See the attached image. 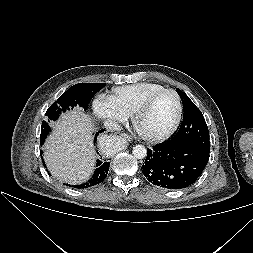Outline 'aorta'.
<instances>
[{
	"label": "aorta",
	"instance_id": "762f6f07",
	"mask_svg": "<svg viewBox=\"0 0 253 253\" xmlns=\"http://www.w3.org/2000/svg\"><path fill=\"white\" fill-rule=\"evenodd\" d=\"M132 154L137 159H143L147 155V149L143 145H136L133 147Z\"/></svg>",
	"mask_w": 253,
	"mask_h": 253
}]
</instances>
